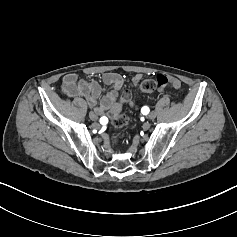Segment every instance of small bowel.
<instances>
[{
	"label": "small bowel",
	"mask_w": 237,
	"mask_h": 237,
	"mask_svg": "<svg viewBox=\"0 0 237 237\" xmlns=\"http://www.w3.org/2000/svg\"><path fill=\"white\" fill-rule=\"evenodd\" d=\"M141 79L140 75H136L133 78L134 83H138ZM102 82L110 86L111 89L102 97L101 95V85L97 81H87L79 79V77L70 73L63 77L61 88L65 95L71 98H83L86 100L87 104L93 109L92 114L104 117V115L111 112V110L116 106L120 91L123 86V78L120 74L114 72H108L103 74ZM162 87L159 91H162ZM125 100L130 99V93L125 91L123 94Z\"/></svg>",
	"instance_id": "1"
}]
</instances>
